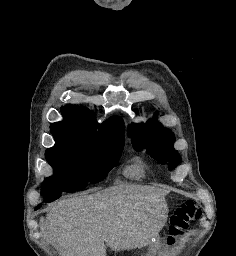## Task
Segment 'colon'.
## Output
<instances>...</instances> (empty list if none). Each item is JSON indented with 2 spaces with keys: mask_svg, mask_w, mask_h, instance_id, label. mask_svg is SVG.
I'll use <instances>...</instances> for the list:
<instances>
[{
  "mask_svg": "<svg viewBox=\"0 0 236 256\" xmlns=\"http://www.w3.org/2000/svg\"><path fill=\"white\" fill-rule=\"evenodd\" d=\"M201 217V210L194 200H186L171 215L168 227L167 244L174 245L179 241L189 228L191 221Z\"/></svg>",
  "mask_w": 236,
  "mask_h": 256,
  "instance_id": "colon-1",
  "label": "colon"
}]
</instances>
